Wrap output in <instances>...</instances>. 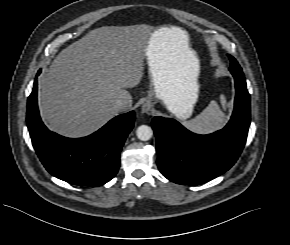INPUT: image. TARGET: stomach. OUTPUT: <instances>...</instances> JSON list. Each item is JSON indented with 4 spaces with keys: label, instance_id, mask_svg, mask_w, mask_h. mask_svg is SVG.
<instances>
[{
    "label": "stomach",
    "instance_id": "obj_1",
    "mask_svg": "<svg viewBox=\"0 0 290 245\" xmlns=\"http://www.w3.org/2000/svg\"><path fill=\"white\" fill-rule=\"evenodd\" d=\"M157 31L151 36L146 47L148 73L153 88L152 97L164 102L169 111L178 119H188L198 98V76L172 78L164 60L157 57Z\"/></svg>",
    "mask_w": 290,
    "mask_h": 245
}]
</instances>
